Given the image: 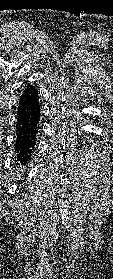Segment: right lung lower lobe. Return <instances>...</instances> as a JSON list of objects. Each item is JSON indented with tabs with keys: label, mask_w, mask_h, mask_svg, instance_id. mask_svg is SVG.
Listing matches in <instances>:
<instances>
[{
	"label": "right lung lower lobe",
	"mask_w": 113,
	"mask_h": 279,
	"mask_svg": "<svg viewBox=\"0 0 113 279\" xmlns=\"http://www.w3.org/2000/svg\"><path fill=\"white\" fill-rule=\"evenodd\" d=\"M39 118L40 105L37 91L34 86L27 85L18 106L15 145L18 160H30L39 129Z\"/></svg>",
	"instance_id": "1"
}]
</instances>
